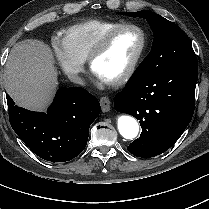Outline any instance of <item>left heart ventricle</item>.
Segmentation results:
<instances>
[{
    "label": "left heart ventricle",
    "mask_w": 209,
    "mask_h": 209,
    "mask_svg": "<svg viewBox=\"0 0 209 209\" xmlns=\"http://www.w3.org/2000/svg\"><path fill=\"white\" fill-rule=\"evenodd\" d=\"M141 44L137 30L127 29L116 33L106 50L94 63V73L104 79L122 74L130 65Z\"/></svg>",
    "instance_id": "b2bd125f"
}]
</instances>
